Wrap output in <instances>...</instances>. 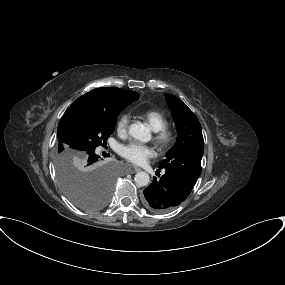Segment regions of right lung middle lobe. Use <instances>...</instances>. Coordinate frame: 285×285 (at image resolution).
<instances>
[{
    "label": "right lung middle lobe",
    "mask_w": 285,
    "mask_h": 285,
    "mask_svg": "<svg viewBox=\"0 0 285 285\" xmlns=\"http://www.w3.org/2000/svg\"><path fill=\"white\" fill-rule=\"evenodd\" d=\"M138 98V93L117 98L110 111L76 106L62 116L57 130L55 168L61 189L77 207L95 211L109 202L115 175L100 161L88 166L89 156L106 144L120 112Z\"/></svg>",
    "instance_id": "1"
}]
</instances>
